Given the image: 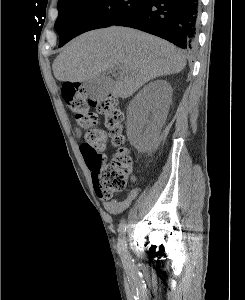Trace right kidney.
<instances>
[{
  "mask_svg": "<svg viewBox=\"0 0 245 300\" xmlns=\"http://www.w3.org/2000/svg\"><path fill=\"white\" fill-rule=\"evenodd\" d=\"M172 100L171 85L157 80L146 85L127 108V137L138 151L146 152L156 144Z\"/></svg>",
  "mask_w": 245,
  "mask_h": 300,
  "instance_id": "1",
  "label": "right kidney"
}]
</instances>
